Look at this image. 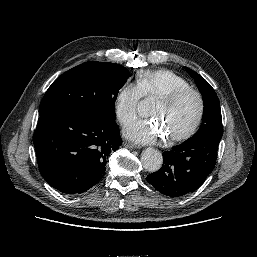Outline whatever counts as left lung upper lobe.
<instances>
[{
  "mask_svg": "<svg viewBox=\"0 0 257 257\" xmlns=\"http://www.w3.org/2000/svg\"><path fill=\"white\" fill-rule=\"evenodd\" d=\"M185 70L188 71L195 80L202 94L204 103L201 127L195 135L188 140L209 138L220 141L223 135V126L218 96L211 85L203 77L187 67H185Z\"/></svg>",
  "mask_w": 257,
  "mask_h": 257,
  "instance_id": "obj_1",
  "label": "left lung upper lobe"
}]
</instances>
